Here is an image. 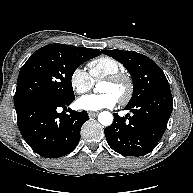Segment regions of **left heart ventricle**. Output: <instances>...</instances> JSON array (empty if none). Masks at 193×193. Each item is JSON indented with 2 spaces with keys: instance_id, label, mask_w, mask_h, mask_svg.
Wrapping results in <instances>:
<instances>
[{
  "instance_id": "left-heart-ventricle-1",
  "label": "left heart ventricle",
  "mask_w": 193,
  "mask_h": 193,
  "mask_svg": "<svg viewBox=\"0 0 193 193\" xmlns=\"http://www.w3.org/2000/svg\"><path fill=\"white\" fill-rule=\"evenodd\" d=\"M99 92L100 93H111L117 99H119L126 92V86L125 84H112L106 81H102L99 86Z\"/></svg>"
}]
</instances>
